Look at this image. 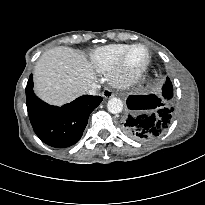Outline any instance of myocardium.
Returning <instances> with one entry per match:
<instances>
[{
  "label": "myocardium",
  "mask_w": 205,
  "mask_h": 205,
  "mask_svg": "<svg viewBox=\"0 0 205 205\" xmlns=\"http://www.w3.org/2000/svg\"><path fill=\"white\" fill-rule=\"evenodd\" d=\"M141 47L146 51L145 62L137 69H130L127 64L131 51ZM151 62V53L149 48L141 43L131 45L121 56L116 66L111 70V83L116 87L127 88L138 83L147 72Z\"/></svg>",
  "instance_id": "obj_1"
}]
</instances>
